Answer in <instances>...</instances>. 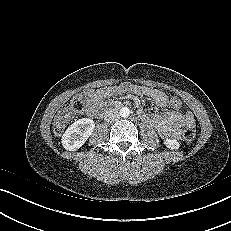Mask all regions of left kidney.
Listing matches in <instances>:
<instances>
[{
  "instance_id": "5707ae66",
  "label": "left kidney",
  "mask_w": 231,
  "mask_h": 231,
  "mask_svg": "<svg viewBox=\"0 0 231 231\" xmlns=\"http://www.w3.org/2000/svg\"><path fill=\"white\" fill-rule=\"evenodd\" d=\"M165 145L167 148L171 149V150H176L180 147L179 142L176 139H166L164 141Z\"/></svg>"
}]
</instances>
